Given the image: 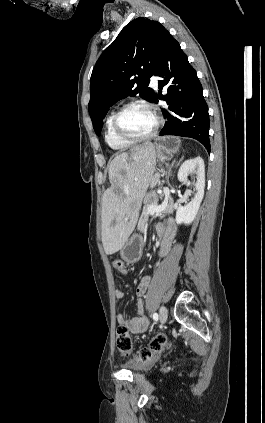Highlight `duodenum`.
<instances>
[{
    "label": "duodenum",
    "mask_w": 265,
    "mask_h": 423,
    "mask_svg": "<svg viewBox=\"0 0 265 423\" xmlns=\"http://www.w3.org/2000/svg\"><path fill=\"white\" fill-rule=\"evenodd\" d=\"M158 234H159V235H163V232H162V231H159V232H158Z\"/></svg>",
    "instance_id": "410a0bca"
}]
</instances>
